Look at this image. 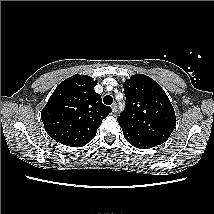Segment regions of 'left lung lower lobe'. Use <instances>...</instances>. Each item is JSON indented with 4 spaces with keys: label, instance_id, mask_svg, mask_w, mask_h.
Returning <instances> with one entry per match:
<instances>
[{
    "label": "left lung lower lobe",
    "instance_id": "left-lung-lower-lobe-1",
    "mask_svg": "<svg viewBox=\"0 0 214 214\" xmlns=\"http://www.w3.org/2000/svg\"><path fill=\"white\" fill-rule=\"evenodd\" d=\"M124 137L131 145H133L136 148L147 149V148H152V147L157 146L156 144H154L152 142L139 140V139H135L132 137H127V136H124Z\"/></svg>",
    "mask_w": 214,
    "mask_h": 214
}]
</instances>
